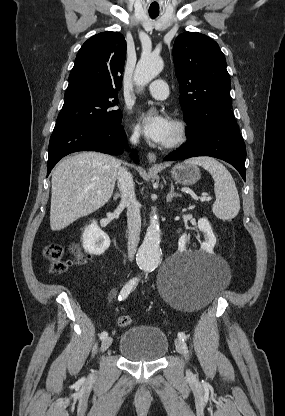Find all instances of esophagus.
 <instances>
[{"instance_id": "34e87169", "label": "esophagus", "mask_w": 285, "mask_h": 416, "mask_svg": "<svg viewBox=\"0 0 285 416\" xmlns=\"http://www.w3.org/2000/svg\"><path fill=\"white\" fill-rule=\"evenodd\" d=\"M147 158L149 160L150 163H153L155 166H160L156 164V155L155 153H148Z\"/></svg>"}]
</instances>
